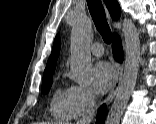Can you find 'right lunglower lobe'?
Returning <instances> with one entry per match:
<instances>
[{
  "mask_svg": "<svg viewBox=\"0 0 156 124\" xmlns=\"http://www.w3.org/2000/svg\"><path fill=\"white\" fill-rule=\"evenodd\" d=\"M112 50L115 59L121 62L123 60V50H122L120 38L116 33H114L113 35ZM105 115H106V107L105 105H103L99 109L96 124H104Z\"/></svg>",
  "mask_w": 156,
  "mask_h": 124,
  "instance_id": "98d812e1",
  "label": "right lung lower lobe"
}]
</instances>
